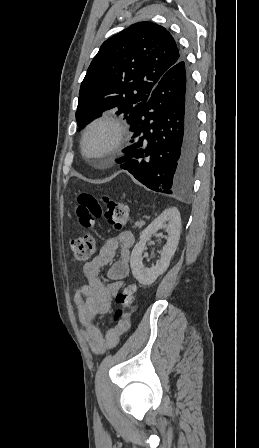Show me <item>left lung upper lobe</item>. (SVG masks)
<instances>
[{
  "instance_id": "obj_1",
  "label": "left lung upper lobe",
  "mask_w": 259,
  "mask_h": 448,
  "mask_svg": "<svg viewBox=\"0 0 259 448\" xmlns=\"http://www.w3.org/2000/svg\"><path fill=\"white\" fill-rule=\"evenodd\" d=\"M182 56L169 31L152 22L133 24L107 39L80 87V129L112 108L127 120L133 109L145 106L158 81Z\"/></svg>"
}]
</instances>
